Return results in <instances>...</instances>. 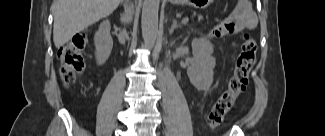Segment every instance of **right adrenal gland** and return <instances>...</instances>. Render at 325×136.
<instances>
[{
	"instance_id": "1",
	"label": "right adrenal gland",
	"mask_w": 325,
	"mask_h": 136,
	"mask_svg": "<svg viewBox=\"0 0 325 136\" xmlns=\"http://www.w3.org/2000/svg\"><path fill=\"white\" fill-rule=\"evenodd\" d=\"M125 17H126V10H125L124 13H122V14L120 15V21H121L122 23L125 21Z\"/></svg>"
}]
</instances>
